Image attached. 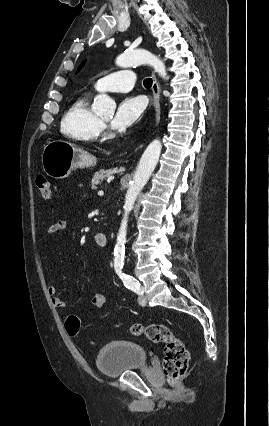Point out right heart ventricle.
<instances>
[{
  "label": "right heart ventricle",
  "instance_id": "right-heart-ventricle-1",
  "mask_svg": "<svg viewBox=\"0 0 269 426\" xmlns=\"http://www.w3.org/2000/svg\"><path fill=\"white\" fill-rule=\"evenodd\" d=\"M101 121L93 112L89 96L79 97L66 111L61 122L64 134L80 141H94L101 132Z\"/></svg>",
  "mask_w": 269,
  "mask_h": 426
}]
</instances>
